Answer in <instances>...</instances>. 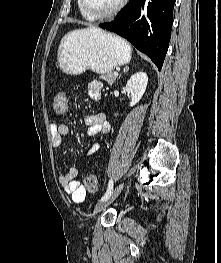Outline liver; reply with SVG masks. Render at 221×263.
<instances>
[{
  "mask_svg": "<svg viewBox=\"0 0 221 263\" xmlns=\"http://www.w3.org/2000/svg\"><path fill=\"white\" fill-rule=\"evenodd\" d=\"M87 29H89L90 31H97L98 30V28H95V27H89Z\"/></svg>",
  "mask_w": 221,
  "mask_h": 263,
  "instance_id": "liver-1",
  "label": "liver"
}]
</instances>
